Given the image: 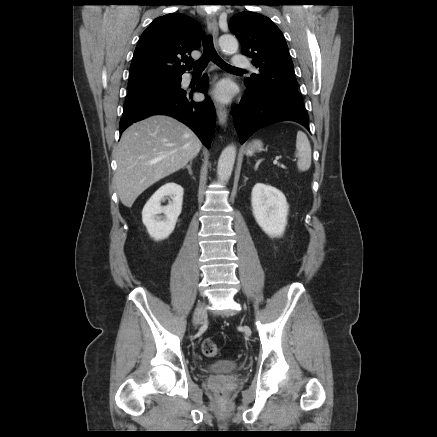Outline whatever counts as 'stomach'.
<instances>
[{
	"instance_id": "0dacf381",
	"label": "stomach",
	"mask_w": 437,
	"mask_h": 437,
	"mask_svg": "<svg viewBox=\"0 0 437 437\" xmlns=\"http://www.w3.org/2000/svg\"><path fill=\"white\" fill-rule=\"evenodd\" d=\"M263 143L261 140H253L252 142H250L245 150V153L247 156H252L254 153L256 152H261L263 151Z\"/></svg>"
}]
</instances>
